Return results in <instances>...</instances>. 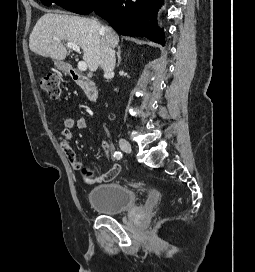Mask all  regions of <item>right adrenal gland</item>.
<instances>
[{"instance_id":"right-adrenal-gland-1","label":"right adrenal gland","mask_w":255,"mask_h":272,"mask_svg":"<svg viewBox=\"0 0 255 272\" xmlns=\"http://www.w3.org/2000/svg\"><path fill=\"white\" fill-rule=\"evenodd\" d=\"M117 57H118L117 66H119L120 63H121V60H122V58H121V46H118Z\"/></svg>"}]
</instances>
